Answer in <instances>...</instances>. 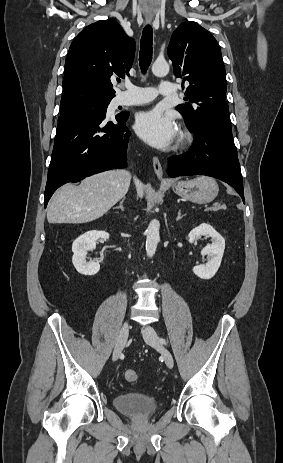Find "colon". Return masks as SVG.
<instances>
[{
  "mask_svg": "<svg viewBox=\"0 0 283 463\" xmlns=\"http://www.w3.org/2000/svg\"><path fill=\"white\" fill-rule=\"evenodd\" d=\"M125 380L129 383H136L139 379V375L134 370H127L124 373Z\"/></svg>",
  "mask_w": 283,
  "mask_h": 463,
  "instance_id": "colon-1",
  "label": "colon"
}]
</instances>
